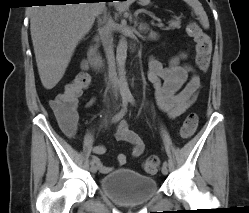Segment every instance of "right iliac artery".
<instances>
[{
  "label": "right iliac artery",
  "instance_id": "right-iliac-artery-1",
  "mask_svg": "<svg viewBox=\"0 0 249 213\" xmlns=\"http://www.w3.org/2000/svg\"><path fill=\"white\" fill-rule=\"evenodd\" d=\"M127 105H128V100L127 99H123L122 101V109L120 110V112H118L113 118H112V122H117L119 121L121 118H123V116L125 115L126 111H127ZM94 163H96V161L93 159L91 161V165H93Z\"/></svg>",
  "mask_w": 249,
  "mask_h": 213
}]
</instances>
